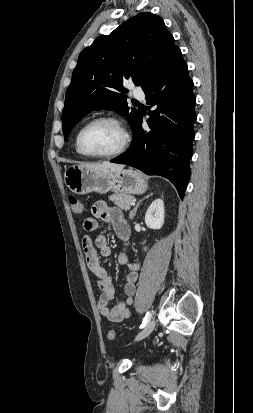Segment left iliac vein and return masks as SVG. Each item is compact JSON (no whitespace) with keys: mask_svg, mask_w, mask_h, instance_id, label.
Wrapping results in <instances>:
<instances>
[{"mask_svg":"<svg viewBox=\"0 0 253 413\" xmlns=\"http://www.w3.org/2000/svg\"><path fill=\"white\" fill-rule=\"evenodd\" d=\"M155 324L156 322L154 319L149 320L146 326L143 328V330L136 336L135 341L142 340L146 338L148 335H150L155 328Z\"/></svg>","mask_w":253,"mask_h":413,"instance_id":"1","label":"left iliac vein"}]
</instances>
